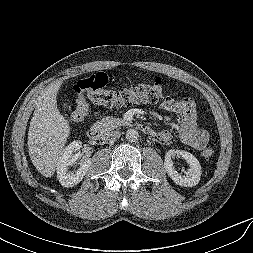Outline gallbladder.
<instances>
[{
    "mask_svg": "<svg viewBox=\"0 0 253 253\" xmlns=\"http://www.w3.org/2000/svg\"><path fill=\"white\" fill-rule=\"evenodd\" d=\"M62 107H63L64 110H67V109L71 108V106L68 102H63Z\"/></svg>",
    "mask_w": 253,
    "mask_h": 253,
    "instance_id": "bac80fb5",
    "label": "gallbladder"
}]
</instances>
